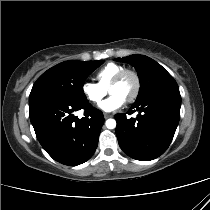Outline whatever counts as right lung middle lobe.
<instances>
[{
	"instance_id": "obj_1",
	"label": "right lung middle lobe",
	"mask_w": 210,
	"mask_h": 210,
	"mask_svg": "<svg viewBox=\"0 0 210 210\" xmlns=\"http://www.w3.org/2000/svg\"><path fill=\"white\" fill-rule=\"evenodd\" d=\"M103 60L62 62L43 73L34 83L29 103L44 98H62L86 101L83 85L86 78Z\"/></svg>"
}]
</instances>
